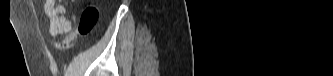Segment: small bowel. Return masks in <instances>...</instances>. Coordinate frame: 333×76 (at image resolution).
Returning a JSON list of instances; mask_svg holds the SVG:
<instances>
[{"label": "small bowel", "instance_id": "small-bowel-1", "mask_svg": "<svg viewBox=\"0 0 333 76\" xmlns=\"http://www.w3.org/2000/svg\"><path fill=\"white\" fill-rule=\"evenodd\" d=\"M44 10L49 18L50 34L53 37L71 31L72 23L66 15V8L62 1L46 0Z\"/></svg>", "mask_w": 333, "mask_h": 76}]
</instances>
